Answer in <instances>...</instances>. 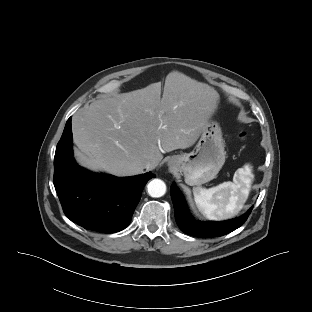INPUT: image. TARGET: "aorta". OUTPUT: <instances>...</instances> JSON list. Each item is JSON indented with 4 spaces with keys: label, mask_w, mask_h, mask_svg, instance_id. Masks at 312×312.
I'll use <instances>...</instances> for the list:
<instances>
[{
    "label": "aorta",
    "mask_w": 312,
    "mask_h": 312,
    "mask_svg": "<svg viewBox=\"0 0 312 312\" xmlns=\"http://www.w3.org/2000/svg\"><path fill=\"white\" fill-rule=\"evenodd\" d=\"M148 194L151 197H161L166 192V184L160 179H154L147 185Z\"/></svg>",
    "instance_id": "obj_1"
}]
</instances>
